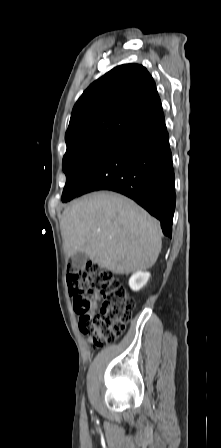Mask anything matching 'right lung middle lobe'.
Instances as JSON below:
<instances>
[{
	"label": "right lung middle lobe",
	"instance_id": "dd1d6c3e",
	"mask_svg": "<svg viewBox=\"0 0 221 448\" xmlns=\"http://www.w3.org/2000/svg\"><path fill=\"white\" fill-rule=\"evenodd\" d=\"M116 139L86 143L66 151L62 168L67 181L62 201L79 196L81 190L116 144Z\"/></svg>",
	"mask_w": 221,
	"mask_h": 448
}]
</instances>
